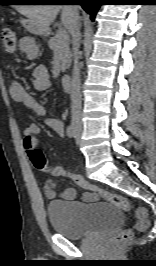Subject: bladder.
I'll return each mask as SVG.
<instances>
[{
	"label": "bladder",
	"mask_w": 156,
	"mask_h": 266,
	"mask_svg": "<svg viewBox=\"0 0 156 266\" xmlns=\"http://www.w3.org/2000/svg\"><path fill=\"white\" fill-rule=\"evenodd\" d=\"M49 222L57 233L69 239H82L120 225V209L103 202L85 205L80 202H51L47 206Z\"/></svg>",
	"instance_id": "obj_1"
}]
</instances>
